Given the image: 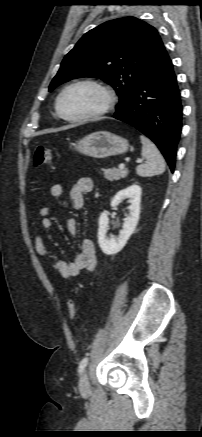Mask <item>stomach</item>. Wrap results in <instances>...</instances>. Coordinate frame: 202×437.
Here are the masks:
<instances>
[{"mask_svg":"<svg viewBox=\"0 0 202 437\" xmlns=\"http://www.w3.org/2000/svg\"><path fill=\"white\" fill-rule=\"evenodd\" d=\"M74 149L86 156L102 159L126 153L129 150V142L110 132L98 131L79 140Z\"/></svg>","mask_w":202,"mask_h":437,"instance_id":"obj_1","label":"stomach"}]
</instances>
